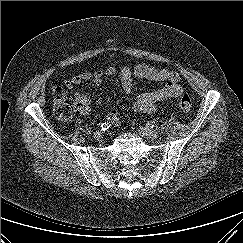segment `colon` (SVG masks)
Here are the masks:
<instances>
[{"mask_svg":"<svg viewBox=\"0 0 243 243\" xmlns=\"http://www.w3.org/2000/svg\"><path fill=\"white\" fill-rule=\"evenodd\" d=\"M53 97V108L56 116L62 120L70 119L78 107L73 95L66 89L57 86L53 89ZM178 105L184 112H190L193 108V100L189 95L185 94L179 98Z\"/></svg>","mask_w":243,"mask_h":243,"instance_id":"colon-1","label":"colon"}]
</instances>
